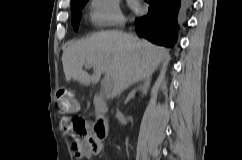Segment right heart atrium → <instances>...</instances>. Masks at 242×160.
<instances>
[{
  "label": "right heart atrium",
  "instance_id": "right-heart-atrium-1",
  "mask_svg": "<svg viewBox=\"0 0 242 160\" xmlns=\"http://www.w3.org/2000/svg\"><path fill=\"white\" fill-rule=\"evenodd\" d=\"M89 16L91 23L101 29L123 22L118 0H90Z\"/></svg>",
  "mask_w": 242,
  "mask_h": 160
}]
</instances>
